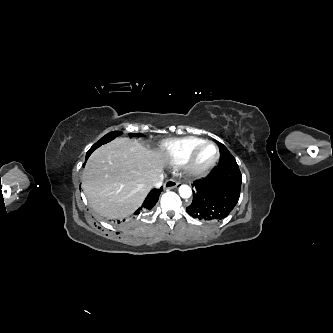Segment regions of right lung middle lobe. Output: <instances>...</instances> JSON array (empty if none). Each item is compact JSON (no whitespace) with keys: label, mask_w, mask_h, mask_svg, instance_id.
Wrapping results in <instances>:
<instances>
[{"label":"right lung middle lobe","mask_w":333,"mask_h":333,"mask_svg":"<svg viewBox=\"0 0 333 333\" xmlns=\"http://www.w3.org/2000/svg\"><path fill=\"white\" fill-rule=\"evenodd\" d=\"M122 132L120 131H114V132H110L108 134H106L104 137H102L97 143H95L92 147H94V149L98 148L99 146H101L102 144H105L111 140H113L116 136L120 135ZM130 136H135V137H139L140 133L137 134H130Z\"/></svg>","instance_id":"1"}]
</instances>
